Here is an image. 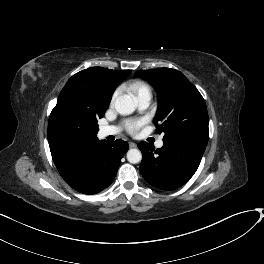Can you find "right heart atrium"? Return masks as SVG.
I'll return each instance as SVG.
<instances>
[{"mask_svg": "<svg viewBox=\"0 0 264 264\" xmlns=\"http://www.w3.org/2000/svg\"><path fill=\"white\" fill-rule=\"evenodd\" d=\"M116 97H117V93H114L113 96H112V100H111V103H112V104L114 103Z\"/></svg>", "mask_w": 264, "mask_h": 264, "instance_id": "obj_1", "label": "right heart atrium"}]
</instances>
